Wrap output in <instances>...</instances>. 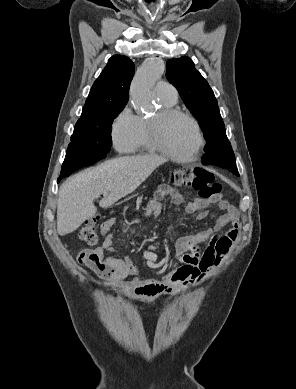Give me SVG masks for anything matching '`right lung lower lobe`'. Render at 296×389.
<instances>
[{
  "label": "right lung lower lobe",
  "instance_id": "obj_1",
  "mask_svg": "<svg viewBox=\"0 0 296 389\" xmlns=\"http://www.w3.org/2000/svg\"><path fill=\"white\" fill-rule=\"evenodd\" d=\"M70 174H71V172L61 173L60 176H59V178H58V182H59L62 178L66 177V176H69Z\"/></svg>",
  "mask_w": 296,
  "mask_h": 389
}]
</instances>
